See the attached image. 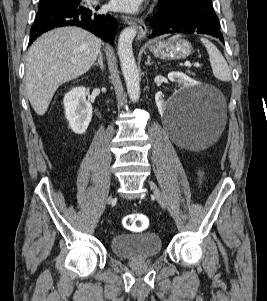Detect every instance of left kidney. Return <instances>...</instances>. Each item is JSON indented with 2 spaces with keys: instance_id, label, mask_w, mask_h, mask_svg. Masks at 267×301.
I'll use <instances>...</instances> for the list:
<instances>
[{
  "instance_id": "1",
  "label": "left kidney",
  "mask_w": 267,
  "mask_h": 301,
  "mask_svg": "<svg viewBox=\"0 0 267 301\" xmlns=\"http://www.w3.org/2000/svg\"><path fill=\"white\" fill-rule=\"evenodd\" d=\"M168 78L172 82L176 81L182 83L185 88L192 87L197 84L195 81H193L187 75L181 72H170L168 74ZM155 99L158 107L162 108L165 106V103L163 102V100L160 98L159 95H157Z\"/></svg>"
}]
</instances>
